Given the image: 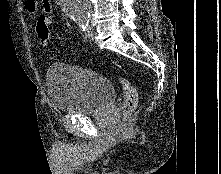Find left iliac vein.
<instances>
[{
    "instance_id": "left-iliac-vein-1",
    "label": "left iliac vein",
    "mask_w": 221,
    "mask_h": 174,
    "mask_svg": "<svg viewBox=\"0 0 221 174\" xmlns=\"http://www.w3.org/2000/svg\"><path fill=\"white\" fill-rule=\"evenodd\" d=\"M95 31L92 26H88L87 29L85 30V35L88 39H93L94 38Z\"/></svg>"
}]
</instances>
